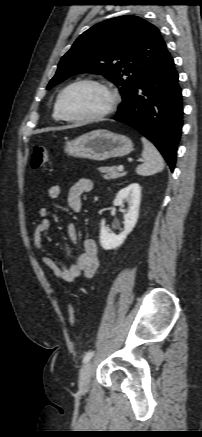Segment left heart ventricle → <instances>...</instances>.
Masks as SVG:
<instances>
[{"instance_id":"obj_1","label":"left heart ventricle","mask_w":202,"mask_h":437,"mask_svg":"<svg viewBox=\"0 0 202 437\" xmlns=\"http://www.w3.org/2000/svg\"><path fill=\"white\" fill-rule=\"evenodd\" d=\"M108 95L100 88L82 84L70 89L63 98V109L69 116L82 117L102 111L108 104Z\"/></svg>"}]
</instances>
